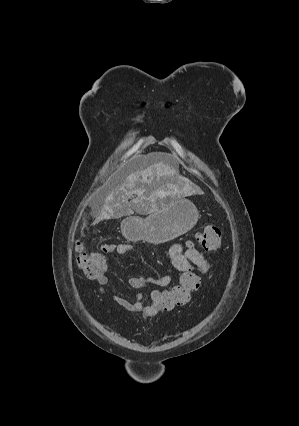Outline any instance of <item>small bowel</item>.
Here are the masks:
<instances>
[{
	"label": "small bowel",
	"mask_w": 299,
	"mask_h": 426,
	"mask_svg": "<svg viewBox=\"0 0 299 426\" xmlns=\"http://www.w3.org/2000/svg\"><path fill=\"white\" fill-rule=\"evenodd\" d=\"M133 248V245L129 243L110 244L106 246L105 254L117 253L122 255L131 252ZM169 255L173 266L180 272H184L190 267L196 268L201 274H207L209 271V264L207 260L198 250L192 247L184 249L180 244H174L169 250ZM107 270L108 263L105 259L101 273L95 278L99 291L102 294L105 293L104 287L109 283ZM171 281V275L161 277L133 276L129 278L128 283L132 288L139 290L148 284L157 287H166L170 285ZM112 299L115 303L124 307L128 312H140L146 318L153 317L161 311L160 308L151 303H144L142 293H138L130 299L113 295Z\"/></svg>",
	"instance_id": "1"
}]
</instances>
